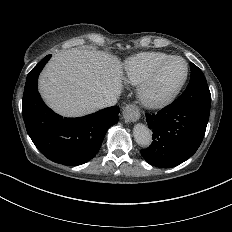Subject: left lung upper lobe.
Returning a JSON list of instances; mask_svg holds the SVG:
<instances>
[{"label": "left lung upper lobe", "instance_id": "5c2ea615", "mask_svg": "<svg viewBox=\"0 0 232 232\" xmlns=\"http://www.w3.org/2000/svg\"><path fill=\"white\" fill-rule=\"evenodd\" d=\"M191 78L186 90L175 101V104L191 106L207 114L210 113L211 94L203 72L190 63Z\"/></svg>", "mask_w": 232, "mask_h": 232}]
</instances>
